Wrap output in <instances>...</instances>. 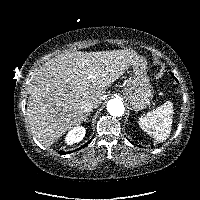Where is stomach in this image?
Instances as JSON below:
<instances>
[{
  "mask_svg": "<svg viewBox=\"0 0 200 200\" xmlns=\"http://www.w3.org/2000/svg\"><path fill=\"white\" fill-rule=\"evenodd\" d=\"M130 78L123 89L130 106L139 111L145 109L153 98V88L149 82L146 69L147 64L143 58L132 63L129 67Z\"/></svg>",
  "mask_w": 200,
  "mask_h": 200,
  "instance_id": "obj_1",
  "label": "stomach"
}]
</instances>
